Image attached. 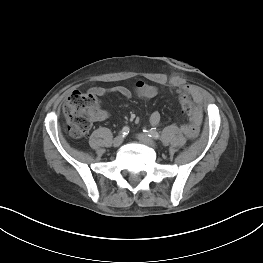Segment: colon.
<instances>
[{
	"label": "colon",
	"instance_id": "obj_1",
	"mask_svg": "<svg viewBox=\"0 0 263 263\" xmlns=\"http://www.w3.org/2000/svg\"><path fill=\"white\" fill-rule=\"evenodd\" d=\"M178 100L193 132L196 120L192 101L185 91L178 92ZM63 113L69 134L74 138H81L91 128L92 120L99 115V95L94 91H75L64 104Z\"/></svg>",
	"mask_w": 263,
	"mask_h": 263
}]
</instances>
